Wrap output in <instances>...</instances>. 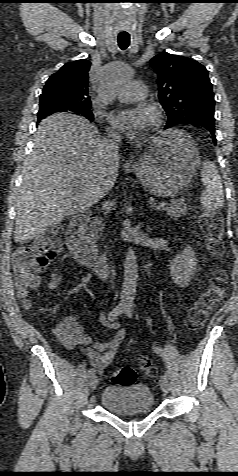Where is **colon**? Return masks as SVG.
<instances>
[{"label": "colon", "instance_id": "5ec220e1", "mask_svg": "<svg viewBox=\"0 0 238 476\" xmlns=\"http://www.w3.org/2000/svg\"><path fill=\"white\" fill-rule=\"evenodd\" d=\"M200 226L206 238L210 252L215 256L223 253V222L212 213H204L200 217ZM60 230L51 228L39 236L32 244L18 248L12 257L16 289L19 295L26 297L40 283L39 273L56 257L61 250ZM226 291V274L218 270L214 274L211 286L203 292L189 309L187 320L190 328L198 329L206 321L210 311L221 301ZM27 305V302H26ZM139 366L148 376L155 373L149 360L139 357ZM136 371L131 367H121L110 372V381L119 385L135 382Z\"/></svg>", "mask_w": 238, "mask_h": 476}]
</instances>
